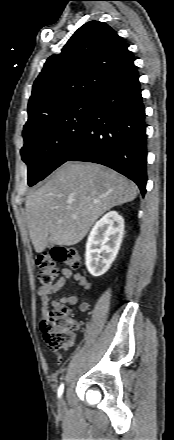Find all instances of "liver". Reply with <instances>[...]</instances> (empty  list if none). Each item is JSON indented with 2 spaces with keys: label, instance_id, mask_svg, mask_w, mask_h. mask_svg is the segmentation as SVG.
Wrapping results in <instances>:
<instances>
[{
  "label": "liver",
  "instance_id": "liver-1",
  "mask_svg": "<svg viewBox=\"0 0 174 440\" xmlns=\"http://www.w3.org/2000/svg\"><path fill=\"white\" fill-rule=\"evenodd\" d=\"M137 187L116 171L94 163L66 162L25 202V219L34 249L48 243H79L111 208L133 201Z\"/></svg>",
  "mask_w": 174,
  "mask_h": 440
}]
</instances>
